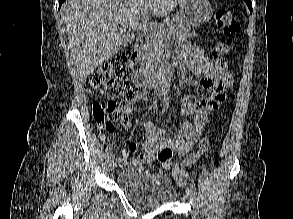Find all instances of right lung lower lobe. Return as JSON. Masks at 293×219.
Returning <instances> with one entry per match:
<instances>
[{"instance_id": "right-lung-lower-lobe-1", "label": "right lung lower lobe", "mask_w": 293, "mask_h": 219, "mask_svg": "<svg viewBox=\"0 0 293 219\" xmlns=\"http://www.w3.org/2000/svg\"><path fill=\"white\" fill-rule=\"evenodd\" d=\"M65 0H59V8L61 7L62 3L64 2Z\"/></svg>"}]
</instances>
